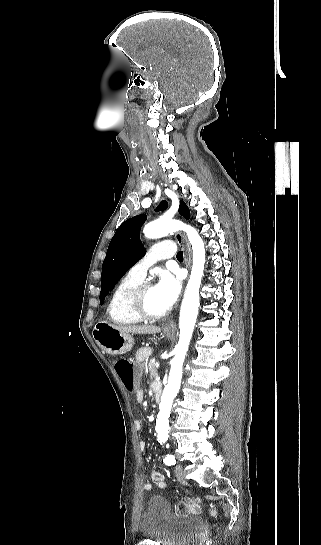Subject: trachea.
I'll use <instances>...</instances> for the list:
<instances>
[{"instance_id":"trachea-1","label":"trachea","mask_w":321,"mask_h":545,"mask_svg":"<svg viewBox=\"0 0 321 545\" xmlns=\"http://www.w3.org/2000/svg\"><path fill=\"white\" fill-rule=\"evenodd\" d=\"M176 257L177 260H183V252H178Z\"/></svg>"}]
</instances>
